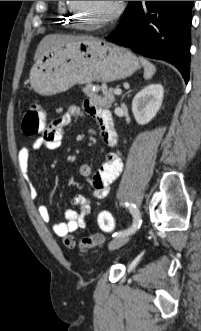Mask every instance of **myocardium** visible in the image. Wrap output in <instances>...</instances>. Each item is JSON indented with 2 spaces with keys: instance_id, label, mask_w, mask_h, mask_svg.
<instances>
[{
  "instance_id": "1",
  "label": "myocardium",
  "mask_w": 201,
  "mask_h": 331,
  "mask_svg": "<svg viewBox=\"0 0 201 331\" xmlns=\"http://www.w3.org/2000/svg\"><path fill=\"white\" fill-rule=\"evenodd\" d=\"M69 8L72 10V12L75 14V17L79 19L84 25L90 26V27H103L111 23L113 20H115L123 11L124 8V1H116L113 10L107 14L105 17L101 18L97 22L90 23L88 21H85L83 19V15L81 14L80 10L78 9L77 5L75 4V1H68Z\"/></svg>"
}]
</instances>
